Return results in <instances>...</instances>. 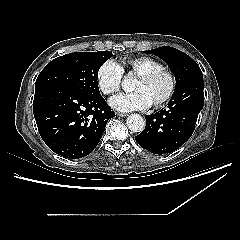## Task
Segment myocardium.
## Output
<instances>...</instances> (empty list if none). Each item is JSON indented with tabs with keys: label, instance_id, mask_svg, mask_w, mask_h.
I'll use <instances>...</instances> for the list:
<instances>
[{
	"label": "myocardium",
	"instance_id": "myocardium-1",
	"mask_svg": "<svg viewBox=\"0 0 240 240\" xmlns=\"http://www.w3.org/2000/svg\"><path fill=\"white\" fill-rule=\"evenodd\" d=\"M158 77L163 78L166 81L167 88H166L165 93L154 102L156 105L166 102L171 97L172 92H173L172 80L168 77V75L165 72H163L159 68H153V69H150V70H147V71H144V72L138 74V78H140L144 81H152L153 79L158 78Z\"/></svg>",
	"mask_w": 240,
	"mask_h": 240
}]
</instances>
